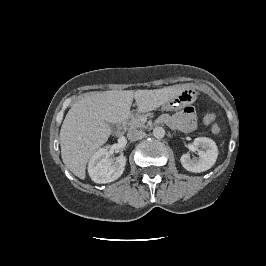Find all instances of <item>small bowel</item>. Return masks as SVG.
<instances>
[{
	"instance_id": "1",
	"label": "small bowel",
	"mask_w": 266,
	"mask_h": 266,
	"mask_svg": "<svg viewBox=\"0 0 266 266\" xmlns=\"http://www.w3.org/2000/svg\"><path fill=\"white\" fill-rule=\"evenodd\" d=\"M160 121L169 127L181 130L183 132H190L195 129L197 124V117L193 107H187L184 110L175 114H165L160 117Z\"/></svg>"
}]
</instances>
